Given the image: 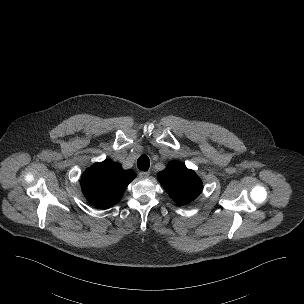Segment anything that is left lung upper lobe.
Masks as SVG:
<instances>
[{
  "mask_svg": "<svg viewBox=\"0 0 304 304\" xmlns=\"http://www.w3.org/2000/svg\"><path fill=\"white\" fill-rule=\"evenodd\" d=\"M158 180L179 205L190 203L202 191L200 178L180 162H170L165 170L158 173Z\"/></svg>",
  "mask_w": 304,
  "mask_h": 304,
  "instance_id": "left-lung-upper-lobe-1",
  "label": "left lung upper lobe"
}]
</instances>
